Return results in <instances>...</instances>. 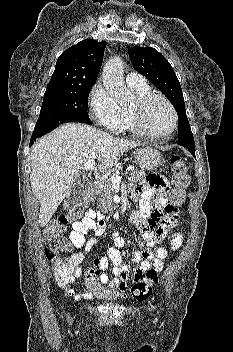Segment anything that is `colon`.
<instances>
[{
  "instance_id": "obj_1",
  "label": "colon",
  "mask_w": 233,
  "mask_h": 352,
  "mask_svg": "<svg viewBox=\"0 0 233 352\" xmlns=\"http://www.w3.org/2000/svg\"><path fill=\"white\" fill-rule=\"evenodd\" d=\"M172 166V185L173 189L169 196V205L178 207L184 204L186 199V190L190 185V176L187 172L185 162L180 155L170 157ZM90 195H84L79 201L70 205L66 211L61 214L57 221L51 223L44 230V236L47 240L48 247L45 250V256L53 263L55 278L59 281L68 279L73 269L70 262L61 257L60 254L70 250V244L64 236V227L70 222L80 218L85 210L86 203ZM100 258L95 260V266L91 267L85 274L86 288L93 297L99 299L115 300L124 296V291L115 287L108 286L97 268ZM158 282V272L150 269L145 279L131 288V296L137 301L146 300L152 292V287Z\"/></svg>"
}]
</instances>
